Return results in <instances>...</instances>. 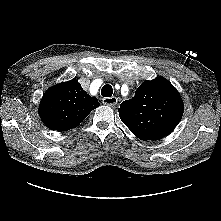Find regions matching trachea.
<instances>
[{
    "label": "trachea",
    "instance_id": "obj_1",
    "mask_svg": "<svg viewBox=\"0 0 221 221\" xmlns=\"http://www.w3.org/2000/svg\"><path fill=\"white\" fill-rule=\"evenodd\" d=\"M112 94H113V88H112L111 85L106 84V85H104V86L102 87V89H101V95H102L103 97H111Z\"/></svg>",
    "mask_w": 221,
    "mask_h": 221
}]
</instances>
